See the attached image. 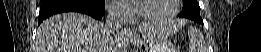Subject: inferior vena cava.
I'll use <instances>...</instances> for the list:
<instances>
[{
  "mask_svg": "<svg viewBox=\"0 0 261 52\" xmlns=\"http://www.w3.org/2000/svg\"><path fill=\"white\" fill-rule=\"evenodd\" d=\"M125 16V6L121 2L114 1L106 5L104 30L107 36L117 33L124 24Z\"/></svg>",
  "mask_w": 261,
  "mask_h": 52,
  "instance_id": "1",
  "label": "inferior vena cava"
}]
</instances>
